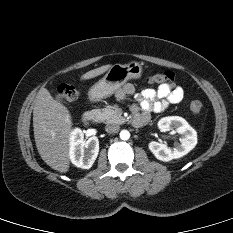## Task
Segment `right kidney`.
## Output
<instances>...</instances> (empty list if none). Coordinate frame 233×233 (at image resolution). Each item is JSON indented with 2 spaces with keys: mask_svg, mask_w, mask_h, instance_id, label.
<instances>
[{
  "mask_svg": "<svg viewBox=\"0 0 233 233\" xmlns=\"http://www.w3.org/2000/svg\"><path fill=\"white\" fill-rule=\"evenodd\" d=\"M69 146V156L75 166L83 169L92 167L99 153L97 137L93 136L84 140L82 130L76 128L70 133Z\"/></svg>",
  "mask_w": 233,
  "mask_h": 233,
  "instance_id": "obj_1",
  "label": "right kidney"
}]
</instances>
